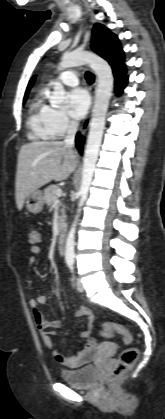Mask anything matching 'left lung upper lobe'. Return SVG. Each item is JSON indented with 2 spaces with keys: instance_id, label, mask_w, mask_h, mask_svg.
Segmentation results:
<instances>
[{
  "instance_id": "1",
  "label": "left lung upper lobe",
  "mask_w": 165,
  "mask_h": 419,
  "mask_svg": "<svg viewBox=\"0 0 165 419\" xmlns=\"http://www.w3.org/2000/svg\"><path fill=\"white\" fill-rule=\"evenodd\" d=\"M91 48L109 63L123 52L116 35L101 24H95L93 27Z\"/></svg>"
}]
</instances>
